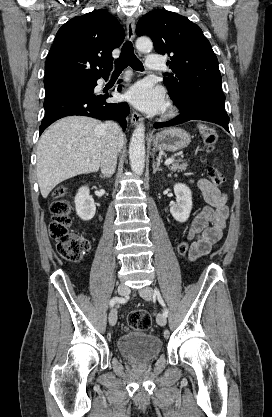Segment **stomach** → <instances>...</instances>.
<instances>
[{"label": "stomach", "mask_w": 272, "mask_h": 417, "mask_svg": "<svg viewBox=\"0 0 272 417\" xmlns=\"http://www.w3.org/2000/svg\"><path fill=\"white\" fill-rule=\"evenodd\" d=\"M191 137L184 129L170 127L157 133L153 139V147L157 150L175 152L187 147Z\"/></svg>", "instance_id": "obj_1"}]
</instances>
